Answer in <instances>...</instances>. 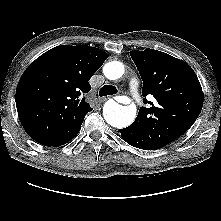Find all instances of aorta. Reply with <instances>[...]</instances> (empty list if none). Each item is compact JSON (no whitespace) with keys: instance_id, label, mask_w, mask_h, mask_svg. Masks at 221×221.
Listing matches in <instances>:
<instances>
[{"instance_id":"aorta-1","label":"aorta","mask_w":221,"mask_h":221,"mask_svg":"<svg viewBox=\"0 0 221 221\" xmlns=\"http://www.w3.org/2000/svg\"><path fill=\"white\" fill-rule=\"evenodd\" d=\"M124 65L119 61H110L103 67L106 78L116 80L123 76ZM103 116L108 124L116 128L129 126L135 119L136 108L133 105L122 106L114 100H108L103 107Z\"/></svg>"}]
</instances>
